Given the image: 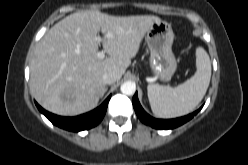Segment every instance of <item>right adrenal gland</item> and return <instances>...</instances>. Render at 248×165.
Returning a JSON list of instances; mask_svg holds the SVG:
<instances>
[{"label": "right adrenal gland", "mask_w": 248, "mask_h": 165, "mask_svg": "<svg viewBox=\"0 0 248 165\" xmlns=\"http://www.w3.org/2000/svg\"><path fill=\"white\" fill-rule=\"evenodd\" d=\"M107 89H108L107 87H105V88L103 89L102 94H101V98H102L103 95L106 93Z\"/></svg>", "instance_id": "1"}]
</instances>
